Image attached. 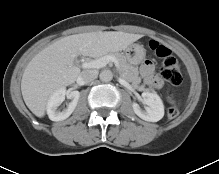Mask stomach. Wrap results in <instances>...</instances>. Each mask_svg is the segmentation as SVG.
Instances as JSON below:
<instances>
[{
  "label": "stomach",
  "instance_id": "0dacf381",
  "mask_svg": "<svg viewBox=\"0 0 219 174\" xmlns=\"http://www.w3.org/2000/svg\"><path fill=\"white\" fill-rule=\"evenodd\" d=\"M146 51L140 44L134 43L126 48L125 57L130 64L137 65L145 57Z\"/></svg>",
  "mask_w": 219,
  "mask_h": 174
}]
</instances>
